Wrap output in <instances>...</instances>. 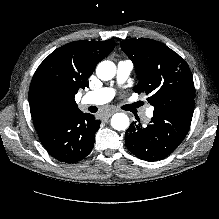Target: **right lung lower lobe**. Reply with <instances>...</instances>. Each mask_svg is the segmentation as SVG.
Masks as SVG:
<instances>
[{"mask_svg": "<svg viewBox=\"0 0 219 219\" xmlns=\"http://www.w3.org/2000/svg\"><path fill=\"white\" fill-rule=\"evenodd\" d=\"M33 122L47 152L65 163L78 162L91 152L101 123L80 110L70 114H42Z\"/></svg>", "mask_w": 219, "mask_h": 219, "instance_id": "1", "label": "right lung lower lobe"}]
</instances>
